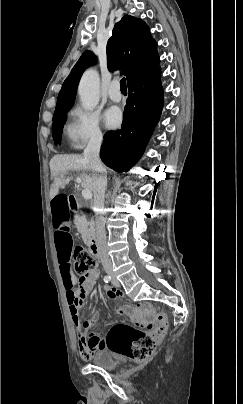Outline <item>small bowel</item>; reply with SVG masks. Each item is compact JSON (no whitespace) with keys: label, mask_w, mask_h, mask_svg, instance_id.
<instances>
[{"label":"small bowel","mask_w":243,"mask_h":404,"mask_svg":"<svg viewBox=\"0 0 243 404\" xmlns=\"http://www.w3.org/2000/svg\"><path fill=\"white\" fill-rule=\"evenodd\" d=\"M69 196L65 193L55 194L50 203L54 243L56 246L61 273L66 288V300L69 307L72 323L77 330L79 352L83 359H89L97 350L105 348V340L100 336L88 334V322H82L78 310L85 301L88 292L96 286L99 272L91 271L88 275L76 279L72 262V237L68 224ZM106 296L110 301H115L120 295L115 289L106 286ZM119 315H124L125 309L117 307Z\"/></svg>","instance_id":"obj_1"}]
</instances>
